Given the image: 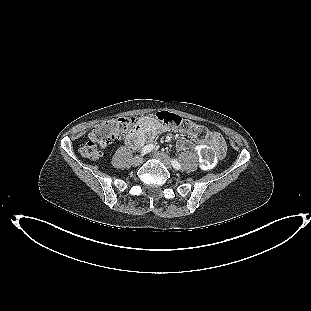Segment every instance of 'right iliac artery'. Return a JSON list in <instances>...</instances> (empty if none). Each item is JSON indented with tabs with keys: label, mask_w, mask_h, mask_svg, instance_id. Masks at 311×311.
Masks as SVG:
<instances>
[{
	"label": "right iliac artery",
	"mask_w": 311,
	"mask_h": 311,
	"mask_svg": "<svg viewBox=\"0 0 311 311\" xmlns=\"http://www.w3.org/2000/svg\"><path fill=\"white\" fill-rule=\"evenodd\" d=\"M153 148L154 147L152 144L146 145L144 148H142L141 154L142 155L147 154V153L151 152L153 150Z\"/></svg>",
	"instance_id": "obj_1"
}]
</instances>
